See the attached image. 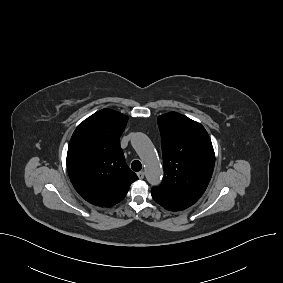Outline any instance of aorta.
<instances>
[{"label": "aorta", "instance_id": "aorta-1", "mask_svg": "<svg viewBox=\"0 0 283 283\" xmlns=\"http://www.w3.org/2000/svg\"><path fill=\"white\" fill-rule=\"evenodd\" d=\"M131 143L144 163L145 175L148 183L152 186L159 185L163 177V169L150 139L143 133H136L133 136Z\"/></svg>", "mask_w": 283, "mask_h": 283}]
</instances>
